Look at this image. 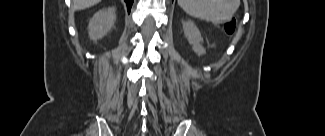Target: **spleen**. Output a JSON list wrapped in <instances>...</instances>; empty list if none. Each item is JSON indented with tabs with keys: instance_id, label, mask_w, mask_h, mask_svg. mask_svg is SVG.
Wrapping results in <instances>:
<instances>
[{
	"instance_id": "obj_1",
	"label": "spleen",
	"mask_w": 325,
	"mask_h": 136,
	"mask_svg": "<svg viewBox=\"0 0 325 136\" xmlns=\"http://www.w3.org/2000/svg\"><path fill=\"white\" fill-rule=\"evenodd\" d=\"M190 16L219 25L230 18L231 11L223 0H178Z\"/></svg>"
}]
</instances>
